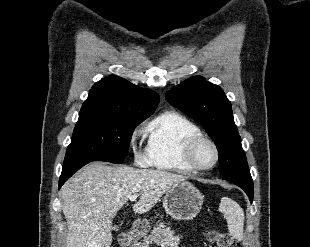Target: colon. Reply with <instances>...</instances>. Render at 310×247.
<instances>
[{"instance_id": "obj_1", "label": "colon", "mask_w": 310, "mask_h": 247, "mask_svg": "<svg viewBox=\"0 0 310 247\" xmlns=\"http://www.w3.org/2000/svg\"><path fill=\"white\" fill-rule=\"evenodd\" d=\"M209 237L216 247H239L235 239L228 233L211 231Z\"/></svg>"}]
</instances>
